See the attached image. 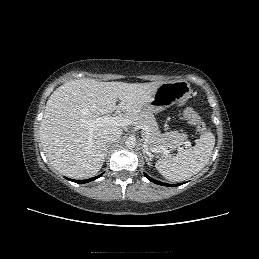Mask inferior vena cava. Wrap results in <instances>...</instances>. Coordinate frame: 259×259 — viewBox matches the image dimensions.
I'll use <instances>...</instances> for the list:
<instances>
[{
    "label": "inferior vena cava",
    "mask_w": 259,
    "mask_h": 259,
    "mask_svg": "<svg viewBox=\"0 0 259 259\" xmlns=\"http://www.w3.org/2000/svg\"><path fill=\"white\" fill-rule=\"evenodd\" d=\"M122 135V130L120 129H111L106 132L104 138L107 143H113L118 140Z\"/></svg>",
    "instance_id": "1"
}]
</instances>
